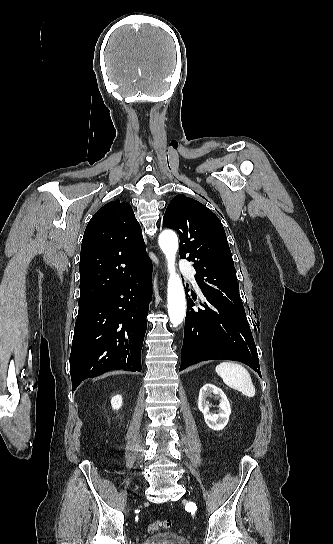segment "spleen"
Wrapping results in <instances>:
<instances>
[{"label":"spleen","mask_w":333,"mask_h":544,"mask_svg":"<svg viewBox=\"0 0 333 544\" xmlns=\"http://www.w3.org/2000/svg\"><path fill=\"white\" fill-rule=\"evenodd\" d=\"M215 370L223 379V382L230 388L240 391L249 398L255 396V387L250 374L242 365L236 362L225 361L217 365Z\"/></svg>","instance_id":"1"}]
</instances>
